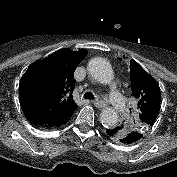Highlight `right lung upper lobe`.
Instances as JSON below:
<instances>
[{"instance_id":"right-lung-upper-lobe-1","label":"right lung upper lobe","mask_w":177,"mask_h":177,"mask_svg":"<svg viewBox=\"0 0 177 177\" xmlns=\"http://www.w3.org/2000/svg\"><path fill=\"white\" fill-rule=\"evenodd\" d=\"M87 55L62 49L30 66L19 85L20 103L25 114H33L64 124L78 107L72 98L74 71Z\"/></svg>"}]
</instances>
